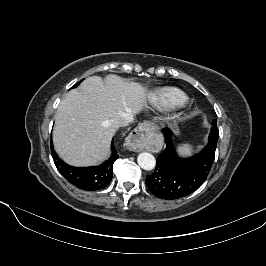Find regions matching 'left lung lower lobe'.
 I'll use <instances>...</instances> for the list:
<instances>
[{
  "mask_svg": "<svg viewBox=\"0 0 266 266\" xmlns=\"http://www.w3.org/2000/svg\"><path fill=\"white\" fill-rule=\"evenodd\" d=\"M162 132L166 148L157 158L154 173L146 177V185L159 198L179 199L197 190L205 181L215 158L217 142L209 141L199 154L182 159L172 143V132L168 128Z\"/></svg>",
  "mask_w": 266,
  "mask_h": 266,
  "instance_id": "left-lung-lower-lobe-1",
  "label": "left lung lower lobe"
}]
</instances>
